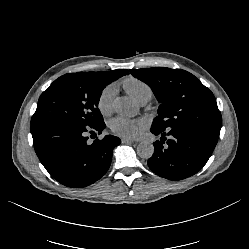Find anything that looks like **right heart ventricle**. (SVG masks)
I'll use <instances>...</instances> for the list:
<instances>
[{"label": "right heart ventricle", "mask_w": 249, "mask_h": 249, "mask_svg": "<svg viewBox=\"0 0 249 249\" xmlns=\"http://www.w3.org/2000/svg\"><path fill=\"white\" fill-rule=\"evenodd\" d=\"M123 89L137 102L149 101L153 96L152 88L142 79L127 76L121 81Z\"/></svg>", "instance_id": "right-heart-ventricle-1"}]
</instances>
